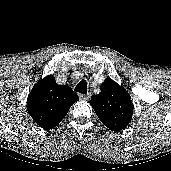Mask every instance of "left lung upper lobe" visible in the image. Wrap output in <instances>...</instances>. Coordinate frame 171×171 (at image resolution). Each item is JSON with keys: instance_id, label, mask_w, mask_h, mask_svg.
Returning a JSON list of instances; mask_svg holds the SVG:
<instances>
[{"instance_id": "obj_1", "label": "left lung upper lobe", "mask_w": 171, "mask_h": 171, "mask_svg": "<svg viewBox=\"0 0 171 171\" xmlns=\"http://www.w3.org/2000/svg\"><path fill=\"white\" fill-rule=\"evenodd\" d=\"M100 89L98 95L91 97L90 105L107 128L121 131L132 119L133 104L130 96L110 78L101 84Z\"/></svg>"}]
</instances>
